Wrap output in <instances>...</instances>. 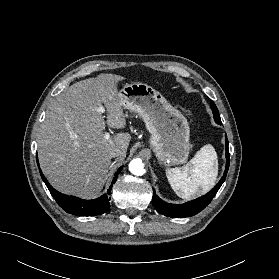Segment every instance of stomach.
<instances>
[{"mask_svg":"<svg viewBox=\"0 0 279 279\" xmlns=\"http://www.w3.org/2000/svg\"><path fill=\"white\" fill-rule=\"evenodd\" d=\"M119 94L124 108L142 117L159 162L164 165L184 163L190 151V128L184 115L159 91L144 83L127 84Z\"/></svg>","mask_w":279,"mask_h":279,"instance_id":"1","label":"stomach"}]
</instances>
